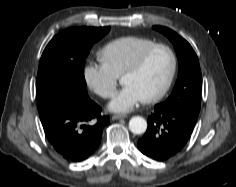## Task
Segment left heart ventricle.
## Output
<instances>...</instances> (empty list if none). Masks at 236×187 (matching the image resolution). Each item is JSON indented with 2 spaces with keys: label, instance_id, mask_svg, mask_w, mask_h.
<instances>
[{
  "label": "left heart ventricle",
  "instance_id": "left-heart-ventricle-1",
  "mask_svg": "<svg viewBox=\"0 0 236 187\" xmlns=\"http://www.w3.org/2000/svg\"><path fill=\"white\" fill-rule=\"evenodd\" d=\"M171 66L169 54L162 49L155 50L146 59L142 68L133 75L122 77L125 86L134 87L144 98L157 93L165 84Z\"/></svg>",
  "mask_w": 236,
  "mask_h": 187
}]
</instances>
